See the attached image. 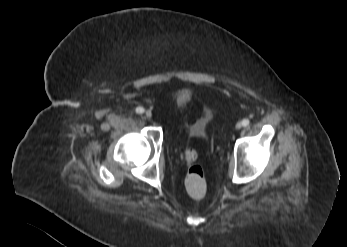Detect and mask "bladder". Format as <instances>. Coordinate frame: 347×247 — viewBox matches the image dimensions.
Segmentation results:
<instances>
[{"instance_id": "1", "label": "bladder", "mask_w": 347, "mask_h": 247, "mask_svg": "<svg viewBox=\"0 0 347 247\" xmlns=\"http://www.w3.org/2000/svg\"><path fill=\"white\" fill-rule=\"evenodd\" d=\"M186 105H187L186 99L182 95H180L178 97V106H179V108L180 109H185Z\"/></svg>"}]
</instances>
